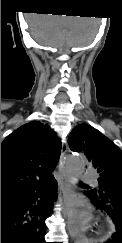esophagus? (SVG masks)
I'll use <instances>...</instances> for the list:
<instances>
[{
	"mask_svg": "<svg viewBox=\"0 0 122 243\" xmlns=\"http://www.w3.org/2000/svg\"><path fill=\"white\" fill-rule=\"evenodd\" d=\"M67 151V143H63L60 159L58 162V172L61 178V191H62V197H63V208H64V216L67 219V231L71 238H75L78 234V230L74 225L73 219L71 217L70 207H69V200L72 194L71 189V183L66 175L65 169H64V158Z\"/></svg>",
	"mask_w": 122,
	"mask_h": 243,
	"instance_id": "esophagus-1",
	"label": "esophagus"
}]
</instances>
